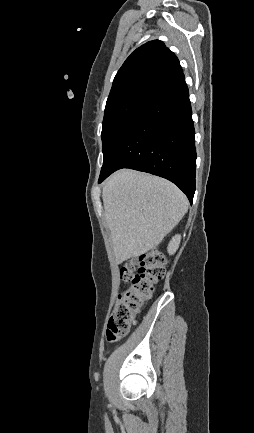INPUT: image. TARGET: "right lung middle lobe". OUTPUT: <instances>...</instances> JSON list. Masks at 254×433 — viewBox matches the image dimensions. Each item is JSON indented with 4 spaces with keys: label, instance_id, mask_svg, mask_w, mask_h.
Masks as SVG:
<instances>
[{
    "label": "right lung middle lobe",
    "instance_id": "obj_1",
    "mask_svg": "<svg viewBox=\"0 0 254 433\" xmlns=\"http://www.w3.org/2000/svg\"><path fill=\"white\" fill-rule=\"evenodd\" d=\"M145 102V100H127L105 108L101 133L104 156L102 168L106 164L119 134Z\"/></svg>",
    "mask_w": 254,
    "mask_h": 433
}]
</instances>
